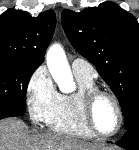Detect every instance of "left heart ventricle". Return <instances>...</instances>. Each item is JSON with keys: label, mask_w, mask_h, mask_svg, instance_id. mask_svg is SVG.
<instances>
[{"label": "left heart ventricle", "mask_w": 139, "mask_h": 150, "mask_svg": "<svg viewBox=\"0 0 139 150\" xmlns=\"http://www.w3.org/2000/svg\"><path fill=\"white\" fill-rule=\"evenodd\" d=\"M93 121L102 133H110L117 126L118 116L113 102L106 96L99 97L93 107Z\"/></svg>", "instance_id": "left-heart-ventricle-1"}]
</instances>
